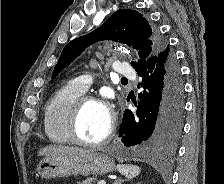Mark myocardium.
<instances>
[{
    "mask_svg": "<svg viewBox=\"0 0 224 184\" xmlns=\"http://www.w3.org/2000/svg\"><path fill=\"white\" fill-rule=\"evenodd\" d=\"M98 103L103 106H105L109 112L110 116V123H109V129L107 134L100 140L98 141H87L84 140L80 137L79 132H78V126H79V119L81 116V113L84 109V107L88 103ZM116 115L111 108V106L106 103L103 99L92 96V95H82L80 96L74 103L69 119H68V135L70 137L71 142L85 146V147H100L105 144H107L114 136L115 131H116Z\"/></svg>",
    "mask_w": 224,
    "mask_h": 184,
    "instance_id": "f54148a6",
    "label": "myocardium"
}]
</instances>
